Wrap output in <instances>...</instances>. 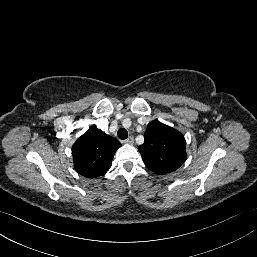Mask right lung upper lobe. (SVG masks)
I'll list each match as a JSON object with an SVG mask.
<instances>
[{
    "label": "right lung upper lobe",
    "mask_w": 257,
    "mask_h": 257,
    "mask_svg": "<svg viewBox=\"0 0 257 257\" xmlns=\"http://www.w3.org/2000/svg\"><path fill=\"white\" fill-rule=\"evenodd\" d=\"M121 143L91 126L72 147L74 168L82 176L96 178L104 175Z\"/></svg>",
    "instance_id": "1"
}]
</instances>
